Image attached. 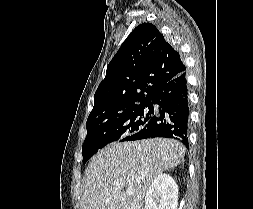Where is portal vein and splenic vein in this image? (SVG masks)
<instances>
[{"mask_svg":"<svg viewBox=\"0 0 253 209\" xmlns=\"http://www.w3.org/2000/svg\"><path fill=\"white\" fill-rule=\"evenodd\" d=\"M133 192H134V190H133L132 188H127L126 191H125V193H126L127 195H132Z\"/></svg>","mask_w":253,"mask_h":209,"instance_id":"portal-vein-and-splenic-vein-1","label":"portal vein and splenic vein"}]
</instances>
